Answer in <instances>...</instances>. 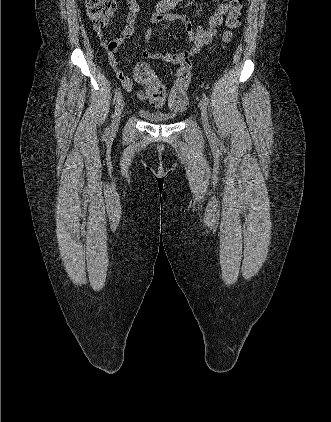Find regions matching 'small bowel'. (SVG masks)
Returning <instances> with one entry per match:
<instances>
[{
    "instance_id": "small-bowel-1",
    "label": "small bowel",
    "mask_w": 331,
    "mask_h": 422,
    "mask_svg": "<svg viewBox=\"0 0 331 422\" xmlns=\"http://www.w3.org/2000/svg\"><path fill=\"white\" fill-rule=\"evenodd\" d=\"M142 0H127L128 11L126 16V26L117 35L112 38H108L100 27H93L94 32L100 41L102 47L107 51L108 60L115 70L116 77L120 81L121 85L129 92L136 89V83L141 84L135 77L134 79L127 76L122 70L118 69L116 62V54L121 45L134 34L135 23L137 16L140 12V2ZM215 3L214 13L208 18L207 28L201 25L193 26L190 18L187 15H176L168 14L167 12L171 9L168 8L164 0H160L156 5L155 12L151 16L150 24L145 29V42L148 45L153 35L152 26L160 24L164 20H180L185 26L186 30L184 34H178L170 32L169 34L175 39H184L190 46L188 48L174 51V52H161L154 53L146 46L142 51V56L145 59H159L165 63L182 65L185 61L195 55H197L201 49L210 44L213 38L217 35V28L222 24L224 15L227 13L229 4L227 1L212 0ZM186 2V0H179L177 3ZM142 85V84H141ZM153 105L160 106L161 102H153Z\"/></svg>"
}]
</instances>
